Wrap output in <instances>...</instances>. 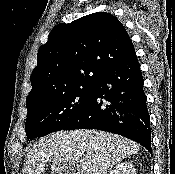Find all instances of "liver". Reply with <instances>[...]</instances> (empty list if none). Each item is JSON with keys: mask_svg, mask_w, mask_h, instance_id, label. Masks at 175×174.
Segmentation results:
<instances>
[{"mask_svg": "<svg viewBox=\"0 0 175 174\" xmlns=\"http://www.w3.org/2000/svg\"><path fill=\"white\" fill-rule=\"evenodd\" d=\"M140 145L117 134L97 130L60 131L39 139L28 150L23 174H41L51 163L52 174H76L79 163L85 174H108L124 158L136 154Z\"/></svg>", "mask_w": 175, "mask_h": 174, "instance_id": "obj_1", "label": "liver"}]
</instances>
